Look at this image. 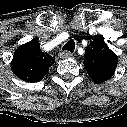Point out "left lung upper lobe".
Returning <instances> with one entry per match:
<instances>
[{
  "instance_id": "obj_1",
  "label": "left lung upper lobe",
  "mask_w": 127,
  "mask_h": 127,
  "mask_svg": "<svg viewBox=\"0 0 127 127\" xmlns=\"http://www.w3.org/2000/svg\"><path fill=\"white\" fill-rule=\"evenodd\" d=\"M118 57L108 48L103 36H95L85 49L84 66L90 78L101 84L111 78L116 70Z\"/></svg>"
}]
</instances>
